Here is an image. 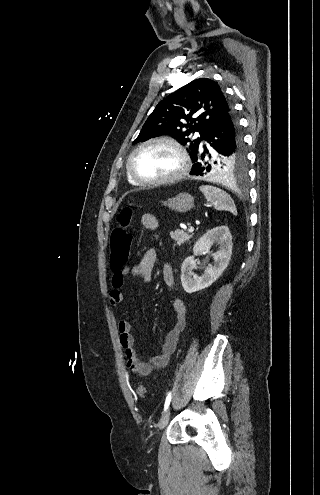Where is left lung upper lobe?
I'll use <instances>...</instances> for the list:
<instances>
[{"instance_id": "obj_1", "label": "left lung upper lobe", "mask_w": 320, "mask_h": 495, "mask_svg": "<svg viewBox=\"0 0 320 495\" xmlns=\"http://www.w3.org/2000/svg\"><path fill=\"white\" fill-rule=\"evenodd\" d=\"M232 110L217 83L208 78L195 79L170 94L149 115L133 144L162 134H170L184 145H189L192 157L201 147V141L211 131L215 122ZM200 137L191 140V133ZM237 147L214 148L205 154L211 175L224 178L246 170V158L242 137L238 128Z\"/></svg>"}]
</instances>
